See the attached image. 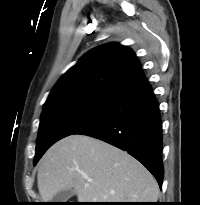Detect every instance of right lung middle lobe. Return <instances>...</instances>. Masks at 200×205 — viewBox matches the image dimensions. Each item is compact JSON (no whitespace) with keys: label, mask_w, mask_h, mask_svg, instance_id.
<instances>
[{"label":"right lung middle lobe","mask_w":200,"mask_h":205,"mask_svg":"<svg viewBox=\"0 0 200 205\" xmlns=\"http://www.w3.org/2000/svg\"><path fill=\"white\" fill-rule=\"evenodd\" d=\"M115 99L85 96L65 99L47 107L41 114L34 165L56 141L74 134L101 116Z\"/></svg>","instance_id":"obj_1"}]
</instances>
